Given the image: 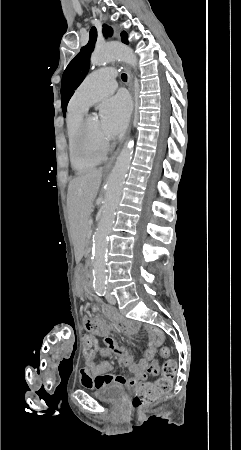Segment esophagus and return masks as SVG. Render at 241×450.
I'll return each mask as SVG.
<instances>
[{
	"label": "esophagus",
	"mask_w": 241,
	"mask_h": 450,
	"mask_svg": "<svg viewBox=\"0 0 241 450\" xmlns=\"http://www.w3.org/2000/svg\"><path fill=\"white\" fill-rule=\"evenodd\" d=\"M127 74H128V85H129V88L131 89V91H133L134 90V87H133V80H132V75H131V72H130V70L129 69H127ZM119 151V150H118ZM118 151H116V153L108 160V162L104 165V168L105 169H108V168H111L112 167V165H113V163H114V161H115V159H116V156H117V154H118Z\"/></svg>",
	"instance_id": "34e87169"
}]
</instances>
